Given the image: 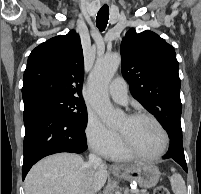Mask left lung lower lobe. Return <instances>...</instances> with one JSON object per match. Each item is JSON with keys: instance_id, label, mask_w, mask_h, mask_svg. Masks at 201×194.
Listing matches in <instances>:
<instances>
[{"instance_id": "1", "label": "left lung lower lobe", "mask_w": 201, "mask_h": 194, "mask_svg": "<svg viewBox=\"0 0 201 194\" xmlns=\"http://www.w3.org/2000/svg\"><path fill=\"white\" fill-rule=\"evenodd\" d=\"M164 129L167 131L170 138V149L164 159H173L187 172V165L184 156L182 145V129L181 123L177 120H171Z\"/></svg>"}]
</instances>
